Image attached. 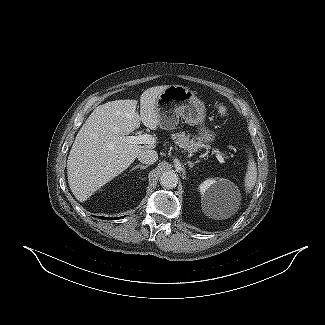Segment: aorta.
Instances as JSON below:
<instances>
[{
	"instance_id": "1",
	"label": "aorta",
	"mask_w": 325,
	"mask_h": 325,
	"mask_svg": "<svg viewBox=\"0 0 325 325\" xmlns=\"http://www.w3.org/2000/svg\"><path fill=\"white\" fill-rule=\"evenodd\" d=\"M177 182L178 176L173 170L163 172L160 177L161 186L167 189L174 188Z\"/></svg>"
}]
</instances>
